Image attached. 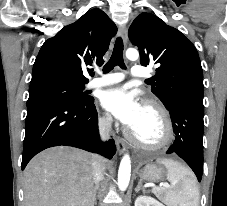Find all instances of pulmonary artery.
<instances>
[{"mask_svg":"<svg viewBox=\"0 0 227 206\" xmlns=\"http://www.w3.org/2000/svg\"><path fill=\"white\" fill-rule=\"evenodd\" d=\"M130 75L134 78H144L148 77L149 73L144 67L135 65L132 67ZM124 77V74L119 72L104 74L89 81L87 88L90 89L115 84L121 82Z\"/></svg>","mask_w":227,"mask_h":206,"instance_id":"e3ab8cb5","label":"pulmonary artery"}]
</instances>
